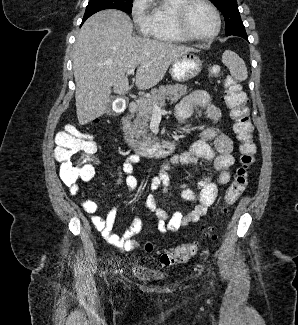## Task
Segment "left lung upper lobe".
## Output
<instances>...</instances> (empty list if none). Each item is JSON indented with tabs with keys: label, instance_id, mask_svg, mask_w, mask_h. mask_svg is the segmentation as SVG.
I'll use <instances>...</instances> for the list:
<instances>
[{
	"label": "left lung upper lobe",
	"instance_id": "1",
	"mask_svg": "<svg viewBox=\"0 0 298 325\" xmlns=\"http://www.w3.org/2000/svg\"><path fill=\"white\" fill-rule=\"evenodd\" d=\"M223 13L225 18L226 35H233L235 32L244 31L236 0H210Z\"/></svg>",
	"mask_w": 298,
	"mask_h": 325
}]
</instances>
